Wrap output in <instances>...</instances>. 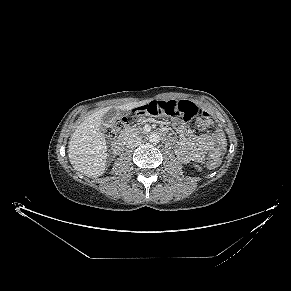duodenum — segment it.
Returning <instances> with one entry per match:
<instances>
[{
	"label": "duodenum",
	"instance_id": "410a0bca",
	"mask_svg": "<svg viewBox=\"0 0 291 291\" xmlns=\"http://www.w3.org/2000/svg\"><path fill=\"white\" fill-rule=\"evenodd\" d=\"M128 139H129V135H123V136L118 137L113 142V145H112L113 151L115 153H119L120 151H122Z\"/></svg>",
	"mask_w": 291,
	"mask_h": 291
}]
</instances>
